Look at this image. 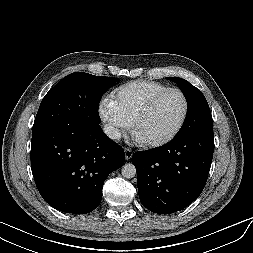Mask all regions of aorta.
Segmentation results:
<instances>
[{"mask_svg": "<svg viewBox=\"0 0 253 253\" xmlns=\"http://www.w3.org/2000/svg\"><path fill=\"white\" fill-rule=\"evenodd\" d=\"M136 175V167L132 163H127L122 167V176L130 179Z\"/></svg>", "mask_w": 253, "mask_h": 253, "instance_id": "obj_1", "label": "aorta"}]
</instances>
